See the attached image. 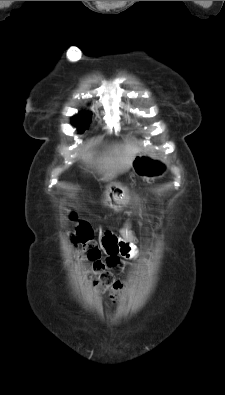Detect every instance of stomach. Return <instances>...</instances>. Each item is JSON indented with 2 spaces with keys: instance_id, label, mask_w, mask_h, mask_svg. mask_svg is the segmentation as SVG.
I'll return each instance as SVG.
<instances>
[{
  "instance_id": "1",
  "label": "stomach",
  "mask_w": 225,
  "mask_h": 395,
  "mask_svg": "<svg viewBox=\"0 0 225 395\" xmlns=\"http://www.w3.org/2000/svg\"><path fill=\"white\" fill-rule=\"evenodd\" d=\"M131 167L136 175L146 180L160 177L165 172L162 162L143 154L135 157ZM125 195V190L118 184L107 186L106 197L112 209L118 210L121 208L125 200Z\"/></svg>"
}]
</instances>
